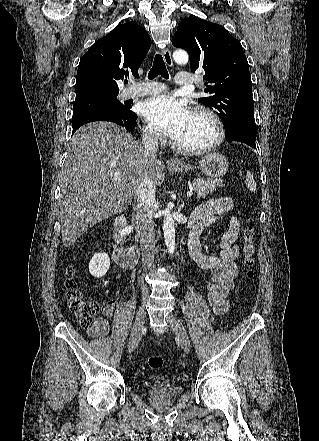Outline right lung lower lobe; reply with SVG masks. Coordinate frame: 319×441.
Returning <instances> with one entry per match:
<instances>
[{
	"label": "right lung lower lobe",
	"mask_w": 319,
	"mask_h": 441,
	"mask_svg": "<svg viewBox=\"0 0 319 441\" xmlns=\"http://www.w3.org/2000/svg\"><path fill=\"white\" fill-rule=\"evenodd\" d=\"M136 120L137 116L135 114L131 115L130 118H123L111 112H95L84 114L72 119V135L80 126L94 121H111L131 131L136 127Z\"/></svg>",
	"instance_id": "1"
}]
</instances>
